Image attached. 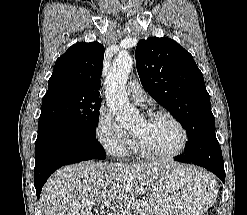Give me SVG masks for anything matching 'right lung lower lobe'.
<instances>
[{
    "label": "right lung lower lobe",
    "mask_w": 247,
    "mask_h": 215,
    "mask_svg": "<svg viewBox=\"0 0 247 215\" xmlns=\"http://www.w3.org/2000/svg\"><path fill=\"white\" fill-rule=\"evenodd\" d=\"M35 149L34 186L38 199L44 183L61 166L106 158L96 136L58 124L38 128Z\"/></svg>",
    "instance_id": "1"
}]
</instances>
